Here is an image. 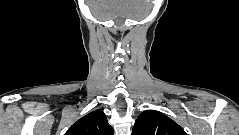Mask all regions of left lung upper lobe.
<instances>
[{
  "instance_id": "5c2ea615",
  "label": "left lung upper lobe",
  "mask_w": 239,
  "mask_h": 135,
  "mask_svg": "<svg viewBox=\"0 0 239 135\" xmlns=\"http://www.w3.org/2000/svg\"><path fill=\"white\" fill-rule=\"evenodd\" d=\"M132 135H186L172 119L156 110H146L135 121Z\"/></svg>"
}]
</instances>
